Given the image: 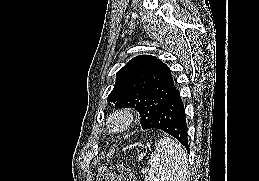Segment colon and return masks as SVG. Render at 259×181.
I'll return each mask as SVG.
<instances>
[{
	"mask_svg": "<svg viewBox=\"0 0 259 181\" xmlns=\"http://www.w3.org/2000/svg\"><path fill=\"white\" fill-rule=\"evenodd\" d=\"M98 181H135V177L132 172L122 164H114L110 167H100Z\"/></svg>",
	"mask_w": 259,
	"mask_h": 181,
	"instance_id": "colon-1",
	"label": "colon"
}]
</instances>
